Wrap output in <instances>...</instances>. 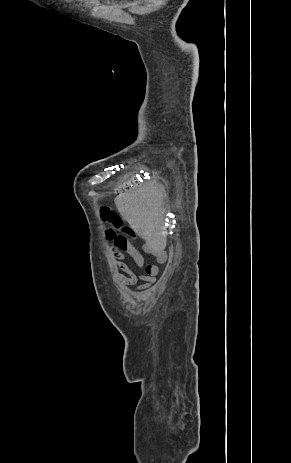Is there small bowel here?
Listing matches in <instances>:
<instances>
[{
  "label": "small bowel",
  "mask_w": 291,
  "mask_h": 463,
  "mask_svg": "<svg viewBox=\"0 0 291 463\" xmlns=\"http://www.w3.org/2000/svg\"><path fill=\"white\" fill-rule=\"evenodd\" d=\"M112 239L114 241V245L110 247V251L114 257L115 266L120 271L116 275L117 280L125 285H133L137 290L146 289L153 285L156 281L158 268L151 264L145 266L142 253L135 248V246L127 237L116 235ZM144 251L154 254L158 262H163L165 259V254L161 250L152 248L150 246H145ZM126 255H128L133 260L137 267L144 269L145 274H136L125 263L124 259ZM139 279L143 280L144 283L137 285Z\"/></svg>",
  "instance_id": "obj_1"
}]
</instances>
